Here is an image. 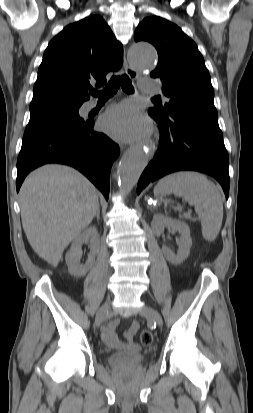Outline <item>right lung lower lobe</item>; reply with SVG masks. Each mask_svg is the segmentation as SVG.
<instances>
[{
	"label": "right lung lower lobe",
	"instance_id": "obj_1",
	"mask_svg": "<svg viewBox=\"0 0 253 413\" xmlns=\"http://www.w3.org/2000/svg\"><path fill=\"white\" fill-rule=\"evenodd\" d=\"M94 122L22 142L17 160L16 188L26 175L46 163H61L82 172L108 199L109 175L119 147L103 133L93 131Z\"/></svg>",
	"mask_w": 253,
	"mask_h": 413
}]
</instances>
